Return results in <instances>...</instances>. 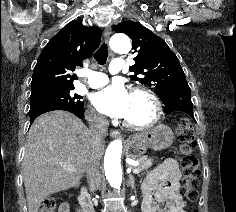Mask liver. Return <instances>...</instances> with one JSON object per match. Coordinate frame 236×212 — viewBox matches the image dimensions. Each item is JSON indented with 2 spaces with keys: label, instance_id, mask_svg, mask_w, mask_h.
<instances>
[{
  "label": "liver",
  "instance_id": "obj_1",
  "mask_svg": "<svg viewBox=\"0 0 236 212\" xmlns=\"http://www.w3.org/2000/svg\"><path fill=\"white\" fill-rule=\"evenodd\" d=\"M93 153L90 130L74 114L52 111L30 127L22 163L28 212H38L43 200L78 185ZM104 143L99 146V159ZM73 165L75 172L61 165Z\"/></svg>",
  "mask_w": 236,
  "mask_h": 212
}]
</instances>
